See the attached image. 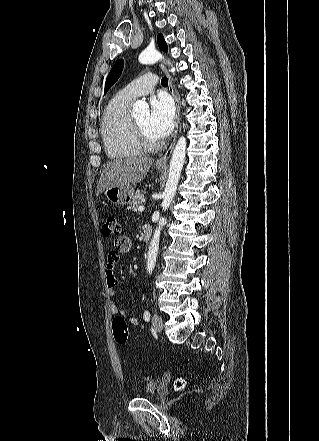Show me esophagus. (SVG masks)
I'll use <instances>...</instances> for the list:
<instances>
[{"label":"esophagus","instance_id":"1","mask_svg":"<svg viewBox=\"0 0 319 441\" xmlns=\"http://www.w3.org/2000/svg\"><path fill=\"white\" fill-rule=\"evenodd\" d=\"M160 68L164 71V73L166 74V76L168 78L169 92L171 93V95L174 99V102H175V106H176V120H175V130H174L173 142L170 145V147L167 149L165 154L162 157L158 158L156 161L157 165L163 166V165L167 164V162L172 154V151L174 149V146H175L176 137H177V133H178V125H179V121H180V106H179V101H178L177 95H176L174 88H173L171 76H170L167 68L165 67V65L163 63H160Z\"/></svg>","mask_w":319,"mask_h":441}]
</instances>
